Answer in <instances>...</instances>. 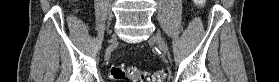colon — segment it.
Masks as SVG:
<instances>
[{
	"label": "colon",
	"mask_w": 279,
	"mask_h": 82,
	"mask_svg": "<svg viewBox=\"0 0 279 82\" xmlns=\"http://www.w3.org/2000/svg\"><path fill=\"white\" fill-rule=\"evenodd\" d=\"M198 5H203L204 0H195ZM111 76L116 82L131 79L133 82H143L146 79L144 72L136 67L125 68L122 65H116L111 68ZM166 77L165 70H158L150 82H163Z\"/></svg>",
	"instance_id": "1"
}]
</instances>
